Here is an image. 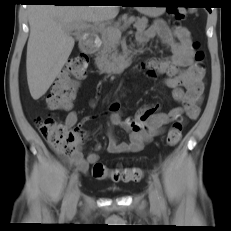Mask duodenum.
Returning <instances> with one entry per match:
<instances>
[{
  "label": "duodenum",
  "instance_id": "duodenum-1",
  "mask_svg": "<svg viewBox=\"0 0 231 231\" xmlns=\"http://www.w3.org/2000/svg\"><path fill=\"white\" fill-rule=\"evenodd\" d=\"M100 45L99 38L96 34L88 33L81 42V50L86 54L93 53ZM131 61V55L127 54L119 64L114 67L115 70L120 69L121 67L127 66Z\"/></svg>",
  "mask_w": 231,
  "mask_h": 231
}]
</instances>
